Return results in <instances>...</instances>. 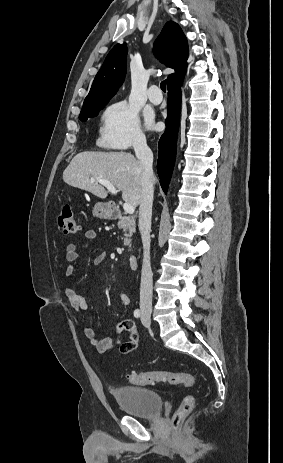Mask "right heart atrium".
<instances>
[{"label": "right heart atrium", "mask_w": 283, "mask_h": 463, "mask_svg": "<svg viewBox=\"0 0 283 463\" xmlns=\"http://www.w3.org/2000/svg\"><path fill=\"white\" fill-rule=\"evenodd\" d=\"M101 145L114 149L143 147L146 138L137 109L121 100L108 105L101 116Z\"/></svg>", "instance_id": "right-heart-atrium-1"}]
</instances>
